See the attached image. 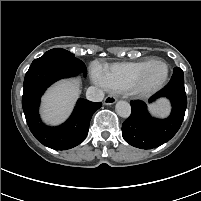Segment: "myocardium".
<instances>
[{
    "mask_svg": "<svg viewBox=\"0 0 201 201\" xmlns=\"http://www.w3.org/2000/svg\"><path fill=\"white\" fill-rule=\"evenodd\" d=\"M155 65H163L165 68V73L163 78L155 85H148L146 82L147 76L151 69ZM169 74H170V68L169 65L163 61V60H154L151 62L135 79V81L131 84L129 87V91L142 98L150 97L153 94L157 93L160 91L168 82L169 79Z\"/></svg>",
    "mask_w": 201,
    "mask_h": 201,
    "instance_id": "f54148a6",
    "label": "myocardium"
}]
</instances>
